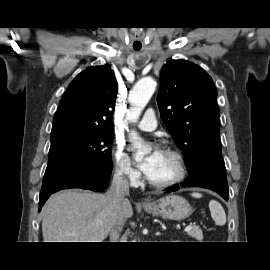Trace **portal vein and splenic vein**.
<instances>
[{"label": "portal vein and splenic vein", "mask_w": 270, "mask_h": 270, "mask_svg": "<svg viewBox=\"0 0 270 270\" xmlns=\"http://www.w3.org/2000/svg\"><path fill=\"white\" fill-rule=\"evenodd\" d=\"M191 228H192V226H191V224H189V225H187V226L185 227L184 230H185V231H189ZM156 235H160V233L157 232Z\"/></svg>", "instance_id": "obj_1"}]
</instances>
